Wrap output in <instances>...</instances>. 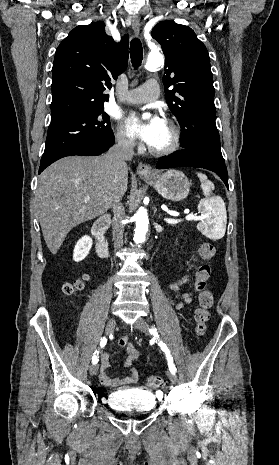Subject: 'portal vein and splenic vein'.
Masks as SVG:
<instances>
[{"label": "portal vein and splenic vein", "instance_id": "1", "mask_svg": "<svg viewBox=\"0 0 279 465\" xmlns=\"http://www.w3.org/2000/svg\"><path fill=\"white\" fill-rule=\"evenodd\" d=\"M90 199H91L90 196H86V197H85V200H86V201H89ZM185 219H186L187 221H192V220L203 219V217H201V216H196V215H194V214H188V215L185 217ZM164 220H165V222H167L168 224H177V223L181 222L180 219H174V218H165Z\"/></svg>", "mask_w": 279, "mask_h": 465}]
</instances>
